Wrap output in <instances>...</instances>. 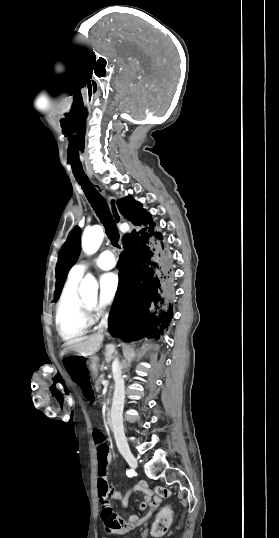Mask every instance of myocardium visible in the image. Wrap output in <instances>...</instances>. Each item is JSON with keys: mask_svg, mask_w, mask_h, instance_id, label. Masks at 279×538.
Wrapping results in <instances>:
<instances>
[{"mask_svg": "<svg viewBox=\"0 0 279 538\" xmlns=\"http://www.w3.org/2000/svg\"><path fill=\"white\" fill-rule=\"evenodd\" d=\"M96 301H91L87 298H83L81 304L77 310V317L84 321L94 322V309Z\"/></svg>", "mask_w": 279, "mask_h": 538, "instance_id": "1", "label": "myocardium"}]
</instances>
